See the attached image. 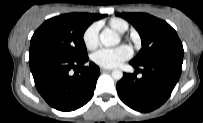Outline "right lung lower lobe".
<instances>
[{"mask_svg": "<svg viewBox=\"0 0 203 123\" xmlns=\"http://www.w3.org/2000/svg\"><path fill=\"white\" fill-rule=\"evenodd\" d=\"M88 57L71 59L59 54L29 52V65L40 95L53 108L72 111L85 105L93 96L99 67ZM74 72V73H73Z\"/></svg>", "mask_w": 203, "mask_h": 123, "instance_id": "98d812e1", "label": "right lung lower lobe"}]
</instances>
